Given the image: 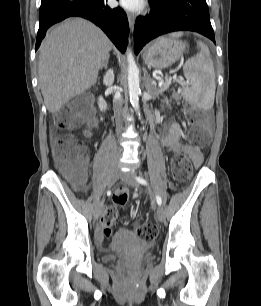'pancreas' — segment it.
Wrapping results in <instances>:
<instances>
[{
  "mask_svg": "<svg viewBox=\"0 0 261 306\" xmlns=\"http://www.w3.org/2000/svg\"><path fill=\"white\" fill-rule=\"evenodd\" d=\"M167 83H168V81L165 80V82L163 83V85L160 88L152 87L151 92L153 94H160V93L164 92L169 87V85L171 84V82L169 83V85H167Z\"/></svg>",
  "mask_w": 261,
  "mask_h": 306,
  "instance_id": "1",
  "label": "pancreas"
}]
</instances>
